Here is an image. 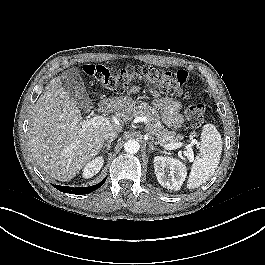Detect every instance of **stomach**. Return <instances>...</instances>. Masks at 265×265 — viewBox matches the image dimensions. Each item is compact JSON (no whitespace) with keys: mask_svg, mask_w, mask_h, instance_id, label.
<instances>
[{"mask_svg":"<svg viewBox=\"0 0 265 265\" xmlns=\"http://www.w3.org/2000/svg\"><path fill=\"white\" fill-rule=\"evenodd\" d=\"M129 102H130L129 99L124 100V105H125V107L129 106Z\"/></svg>","mask_w":265,"mask_h":265,"instance_id":"obj_1","label":"stomach"}]
</instances>
